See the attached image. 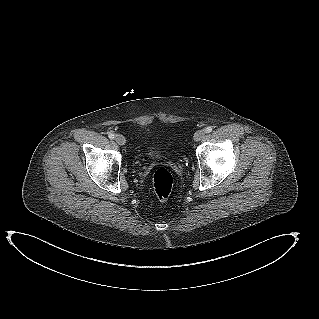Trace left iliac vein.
<instances>
[{"label":"left iliac vein","mask_w":319,"mask_h":319,"mask_svg":"<svg viewBox=\"0 0 319 319\" xmlns=\"http://www.w3.org/2000/svg\"><path fill=\"white\" fill-rule=\"evenodd\" d=\"M205 136V132L203 130H198L194 134V140L200 141Z\"/></svg>","instance_id":"obj_1"}]
</instances>
